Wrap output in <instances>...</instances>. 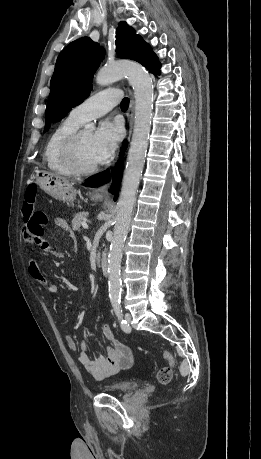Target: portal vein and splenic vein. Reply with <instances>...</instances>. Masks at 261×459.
Segmentation results:
<instances>
[{
	"label": "portal vein and splenic vein",
	"mask_w": 261,
	"mask_h": 459,
	"mask_svg": "<svg viewBox=\"0 0 261 459\" xmlns=\"http://www.w3.org/2000/svg\"><path fill=\"white\" fill-rule=\"evenodd\" d=\"M82 226H83L84 228H88V225H87L86 222H83V223H82Z\"/></svg>",
	"instance_id": "18ae733b"
}]
</instances>
